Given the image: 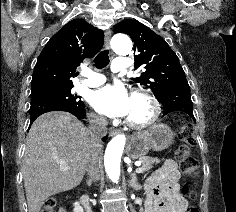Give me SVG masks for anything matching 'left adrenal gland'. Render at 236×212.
Instances as JSON below:
<instances>
[{
    "mask_svg": "<svg viewBox=\"0 0 236 212\" xmlns=\"http://www.w3.org/2000/svg\"><path fill=\"white\" fill-rule=\"evenodd\" d=\"M130 177H131V180L129 182L130 186L133 189L138 190L140 188V185L137 183L136 173L130 174Z\"/></svg>",
    "mask_w": 236,
    "mask_h": 212,
    "instance_id": "left-adrenal-gland-1",
    "label": "left adrenal gland"
}]
</instances>
